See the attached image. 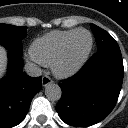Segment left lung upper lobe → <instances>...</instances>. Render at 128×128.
Segmentation results:
<instances>
[{
	"mask_svg": "<svg viewBox=\"0 0 128 128\" xmlns=\"http://www.w3.org/2000/svg\"><path fill=\"white\" fill-rule=\"evenodd\" d=\"M91 29L96 39L97 51L105 47L118 46L117 42L113 39V37L102 28L91 24Z\"/></svg>",
	"mask_w": 128,
	"mask_h": 128,
	"instance_id": "1",
	"label": "left lung upper lobe"
}]
</instances>
